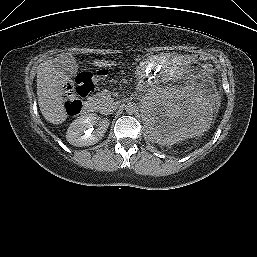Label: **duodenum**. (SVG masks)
Returning <instances> with one entry per match:
<instances>
[{"label":"duodenum","instance_id":"duodenum-1","mask_svg":"<svg viewBox=\"0 0 257 257\" xmlns=\"http://www.w3.org/2000/svg\"><path fill=\"white\" fill-rule=\"evenodd\" d=\"M82 111L85 115L90 116L95 112V106L92 102H86L83 105Z\"/></svg>","mask_w":257,"mask_h":257}]
</instances>
